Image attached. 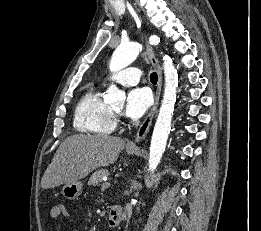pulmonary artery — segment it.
Returning a JSON list of instances; mask_svg holds the SVG:
<instances>
[{"instance_id": "obj_1", "label": "pulmonary artery", "mask_w": 261, "mask_h": 231, "mask_svg": "<svg viewBox=\"0 0 261 231\" xmlns=\"http://www.w3.org/2000/svg\"><path fill=\"white\" fill-rule=\"evenodd\" d=\"M124 86L136 85L140 80V71L137 67H126L113 77Z\"/></svg>"}]
</instances>
